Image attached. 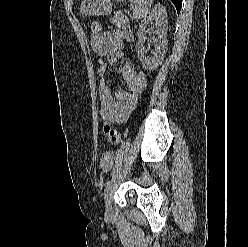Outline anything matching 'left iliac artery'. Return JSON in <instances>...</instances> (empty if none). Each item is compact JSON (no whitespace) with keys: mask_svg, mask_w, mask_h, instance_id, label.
Segmentation results:
<instances>
[{"mask_svg":"<svg viewBox=\"0 0 248 247\" xmlns=\"http://www.w3.org/2000/svg\"><path fill=\"white\" fill-rule=\"evenodd\" d=\"M110 184H111V181L106 182V189H105V193H104V199L107 198V191H108V188L110 187Z\"/></svg>","mask_w":248,"mask_h":247,"instance_id":"left-iliac-artery-1","label":"left iliac artery"}]
</instances>
